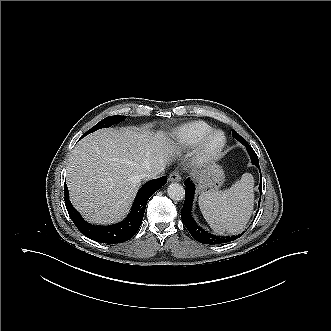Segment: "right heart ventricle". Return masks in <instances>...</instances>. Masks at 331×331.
Here are the masks:
<instances>
[{"label":"right heart ventricle","mask_w":331,"mask_h":331,"mask_svg":"<svg viewBox=\"0 0 331 331\" xmlns=\"http://www.w3.org/2000/svg\"><path fill=\"white\" fill-rule=\"evenodd\" d=\"M212 131V127L203 121H190L177 126L172 132L173 141L183 148L196 146L200 140Z\"/></svg>","instance_id":"right-heart-ventricle-1"}]
</instances>
